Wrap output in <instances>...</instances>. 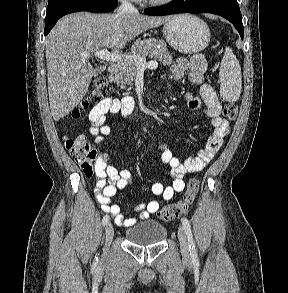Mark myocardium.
I'll list each match as a JSON object with an SVG mask.
<instances>
[{
  "instance_id": "1",
  "label": "myocardium",
  "mask_w": 288,
  "mask_h": 293,
  "mask_svg": "<svg viewBox=\"0 0 288 293\" xmlns=\"http://www.w3.org/2000/svg\"><path fill=\"white\" fill-rule=\"evenodd\" d=\"M150 4L156 5V6H161V5H166L173 0H147Z\"/></svg>"
}]
</instances>
